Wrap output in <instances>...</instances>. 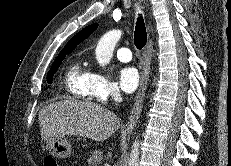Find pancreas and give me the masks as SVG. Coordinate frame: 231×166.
<instances>
[{
  "mask_svg": "<svg viewBox=\"0 0 231 166\" xmlns=\"http://www.w3.org/2000/svg\"><path fill=\"white\" fill-rule=\"evenodd\" d=\"M104 159L103 153L101 151L91 152L87 162L89 166H97Z\"/></svg>",
  "mask_w": 231,
  "mask_h": 166,
  "instance_id": "obj_1",
  "label": "pancreas"
}]
</instances>
